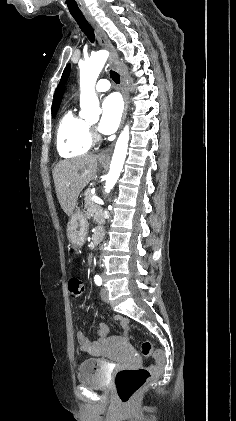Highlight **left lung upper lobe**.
<instances>
[{
    "label": "left lung upper lobe",
    "mask_w": 236,
    "mask_h": 421,
    "mask_svg": "<svg viewBox=\"0 0 236 421\" xmlns=\"http://www.w3.org/2000/svg\"><path fill=\"white\" fill-rule=\"evenodd\" d=\"M69 72H70V64L66 66V68H65V70H64V72H63V74H62V77H61V80H60V84H59V86H58V88H57V90H56V93H57V91H58L59 87H60V86L63 84V82L67 79V77H68V75H69Z\"/></svg>",
    "instance_id": "obj_1"
}]
</instances>
